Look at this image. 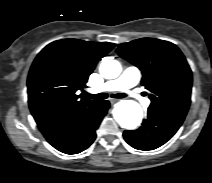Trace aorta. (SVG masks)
Here are the masks:
<instances>
[{"mask_svg":"<svg viewBox=\"0 0 212 183\" xmlns=\"http://www.w3.org/2000/svg\"><path fill=\"white\" fill-rule=\"evenodd\" d=\"M100 74L105 79L117 78L121 73L118 61L107 59L100 65ZM113 115L117 123L125 129H135L142 121L143 113L140 105L133 100H122L115 105Z\"/></svg>","mask_w":212,"mask_h":183,"instance_id":"obj_1","label":"aorta"}]
</instances>
